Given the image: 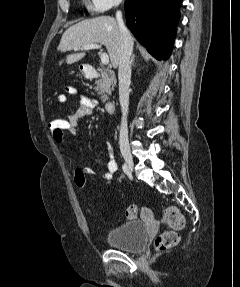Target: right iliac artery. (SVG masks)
<instances>
[{
  "label": "right iliac artery",
  "instance_id": "82829eb1",
  "mask_svg": "<svg viewBox=\"0 0 240 287\" xmlns=\"http://www.w3.org/2000/svg\"><path fill=\"white\" fill-rule=\"evenodd\" d=\"M122 169H123L125 174H127L129 172L128 167H127L126 164L123 165Z\"/></svg>",
  "mask_w": 240,
  "mask_h": 287
}]
</instances>
